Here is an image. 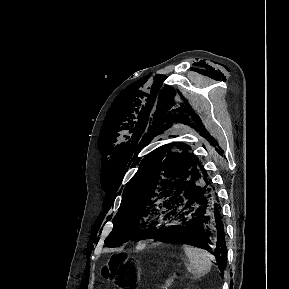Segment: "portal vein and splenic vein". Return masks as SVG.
I'll list each match as a JSON object with an SVG mask.
<instances>
[{
	"label": "portal vein and splenic vein",
	"instance_id": "portal-vein-and-splenic-vein-1",
	"mask_svg": "<svg viewBox=\"0 0 289 289\" xmlns=\"http://www.w3.org/2000/svg\"><path fill=\"white\" fill-rule=\"evenodd\" d=\"M173 282H174L173 278L167 279L164 284V289H168V287H170L173 284Z\"/></svg>",
	"mask_w": 289,
	"mask_h": 289
}]
</instances>
